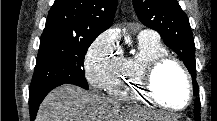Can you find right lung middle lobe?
Masks as SVG:
<instances>
[{
	"label": "right lung middle lobe",
	"mask_w": 217,
	"mask_h": 121,
	"mask_svg": "<svg viewBox=\"0 0 217 121\" xmlns=\"http://www.w3.org/2000/svg\"><path fill=\"white\" fill-rule=\"evenodd\" d=\"M95 39L43 33L29 93L56 82L89 89L83 62L88 47Z\"/></svg>",
	"instance_id": "1"
}]
</instances>
